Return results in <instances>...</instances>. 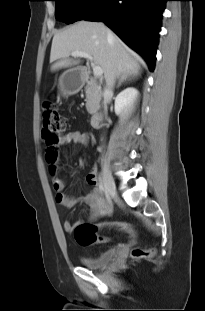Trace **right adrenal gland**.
I'll return each mask as SVG.
<instances>
[{
	"label": "right adrenal gland",
	"instance_id": "1",
	"mask_svg": "<svg viewBox=\"0 0 205 311\" xmlns=\"http://www.w3.org/2000/svg\"><path fill=\"white\" fill-rule=\"evenodd\" d=\"M126 79H127L126 77L120 79V81H119V83L117 85V88L120 87L122 85V83L126 82Z\"/></svg>",
	"mask_w": 205,
	"mask_h": 311
}]
</instances>
